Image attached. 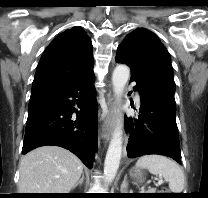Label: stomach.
I'll return each instance as SVG.
<instances>
[{"label":"stomach","instance_id":"1","mask_svg":"<svg viewBox=\"0 0 208 198\" xmlns=\"http://www.w3.org/2000/svg\"><path fill=\"white\" fill-rule=\"evenodd\" d=\"M130 176L136 184H142L145 182L146 179L144 170L139 167H133L130 170Z\"/></svg>","mask_w":208,"mask_h":198}]
</instances>
